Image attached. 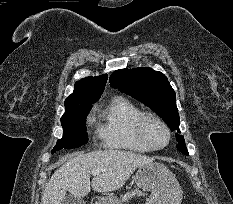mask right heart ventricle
I'll return each mask as SVG.
<instances>
[{
  "mask_svg": "<svg viewBox=\"0 0 233 204\" xmlns=\"http://www.w3.org/2000/svg\"><path fill=\"white\" fill-rule=\"evenodd\" d=\"M143 111L125 97H114L97 111L98 137L109 149L149 152L137 138L134 124Z\"/></svg>",
  "mask_w": 233,
  "mask_h": 204,
  "instance_id": "1",
  "label": "right heart ventricle"
}]
</instances>
